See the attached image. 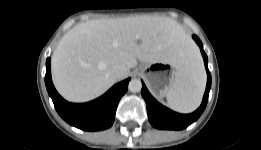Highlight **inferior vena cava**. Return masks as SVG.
<instances>
[{
  "instance_id": "602c4592",
  "label": "inferior vena cava",
  "mask_w": 261,
  "mask_h": 150,
  "mask_svg": "<svg viewBox=\"0 0 261 150\" xmlns=\"http://www.w3.org/2000/svg\"><path fill=\"white\" fill-rule=\"evenodd\" d=\"M128 72V68L123 64H116L111 69L112 75L118 79L123 78Z\"/></svg>"
}]
</instances>
